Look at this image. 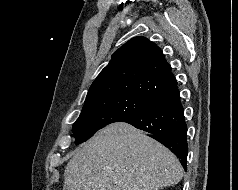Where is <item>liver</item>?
Here are the masks:
<instances>
[{
    "instance_id": "liver-1",
    "label": "liver",
    "mask_w": 238,
    "mask_h": 190,
    "mask_svg": "<svg viewBox=\"0 0 238 190\" xmlns=\"http://www.w3.org/2000/svg\"><path fill=\"white\" fill-rule=\"evenodd\" d=\"M182 177V166L169 149L132 125L117 122L73 154L63 190H159Z\"/></svg>"
}]
</instances>
